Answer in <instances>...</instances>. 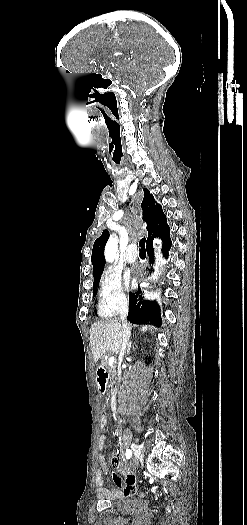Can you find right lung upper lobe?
<instances>
[{"mask_svg":"<svg viewBox=\"0 0 247 525\" xmlns=\"http://www.w3.org/2000/svg\"><path fill=\"white\" fill-rule=\"evenodd\" d=\"M143 219L147 223L148 238L157 232L159 229L164 227L166 223V217L162 212L160 205L156 204L152 194L148 189H144V198L142 201ZM109 234L107 230H104L102 235L96 239L92 250V265H93V276L101 275L104 267V246Z\"/></svg>","mask_w":247,"mask_h":525,"instance_id":"1","label":"right lung upper lobe"}]
</instances>
